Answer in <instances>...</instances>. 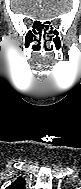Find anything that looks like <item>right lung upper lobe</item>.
<instances>
[{"label":"right lung upper lobe","instance_id":"right-lung-upper-lobe-1","mask_svg":"<svg viewBox=\"0 0 81 189\" xmlns=\"http://www.w3.org/2000/svg\"><path fill=\"white\" fill-rule=\"evenodd\" d=\"M6 189H25V180L19 177L15 182H13Z\"/></svg>","mask_w":81,"mask_h":189}]
</instances>
